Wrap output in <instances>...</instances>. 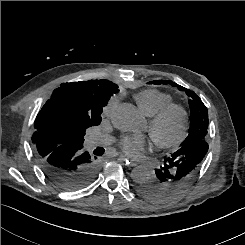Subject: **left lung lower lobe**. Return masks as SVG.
Here are the masks:
<instances>
[{
	"instance_id": "obj_1",
	"label": "left lung lower lobe",
	"mask_w": 245,
	"mask_h": 245,
	"mask_svg": "<svg viewBox=\"0 0 245 245\" xmlns=\"http://www.w3.org/2000/svg\"><path fill=\"white\" fill-rule=\"evenodd\" d=\"M208 147L205 140L181 146L155 170L156 176L139 186L140 193L158 202L168 201L180 194L197 174Z\"/></svg>"
}]
</instances>
